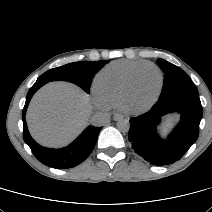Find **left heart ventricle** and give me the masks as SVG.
<instances>
[{"mask_svg": "<svg viewBox=\"0 0 212 212\" xmlns=\"http://www.w3.org/2000/svg\"><path fill=\"white\" fill-rule=\"evenodd\" d=\"M158 87L159 75L157 72L150 68L142 70L128 99V105L133 108L147 105L155 96Z\"/></svg>", "mask_w": 212, "mask_h": 212, "instance_id": "left-heart-ventricle-1", "label": "left heart ventricle"}]
</instances>
